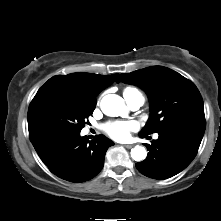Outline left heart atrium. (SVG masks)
Returning a JSON list of instances; mask_svg holds the SVG:
<instances>
[{"label":"left heart atrium","mask_w":221,"mask_h":221,"mask_svg":"<svg viewBox=\"0 0 221 221\" xmlns=\"http://www.w3.org/2000/svg\"><path fill=\"white\" fill-rule=\"evenodd\" d=\"M138 125L135 121H115L104 126L105 132L115 140H126L131 131H135Z\"/></svg>","instance_id":"obj_1"}]
</instances>
